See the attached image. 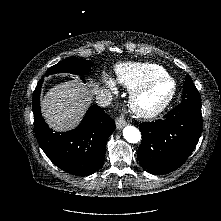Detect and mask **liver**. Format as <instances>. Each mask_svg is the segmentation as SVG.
Wrapping results in <instances>:
<instances>
[{
  "mask_svg": "<svg viewBox=\"0 0 221 221\" xmlns=\"http://www.w3.org/2000/svg\"><path fill=\"white\" fill-rule=\"evenodd\" d=\"M91 90L78 79L53 86L41 101L42 115L53 130L64 131L76 127L88 104L97 94L99 84L90 83Z\"/></svg>",
  "mask_w": 221,
  "mask_h": 221,
  "instance_id": "6515ba94",
  "label": "liver"
}]
</instances>
